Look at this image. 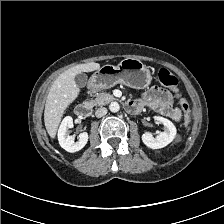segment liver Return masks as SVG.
Instances as JSON below:
<instances>
[{"label": "liver", "mask_w": 224, "mask_h": 224, "mask_svg": "<svg viewBox=\"0 0 224 224\" xmlns=\"http://www.w3.org/2000/svg\"><path fill=\"white\" fill-rule=\"evenodd\" d=\"M98 63L76 65L58 76L51 86L45 104L44 123L51 138H55L61 118L68 106L78 97L79 88L75 76L81 72L98 70Z\"/></svg>", "instance_id": "1"}]
</instances>
